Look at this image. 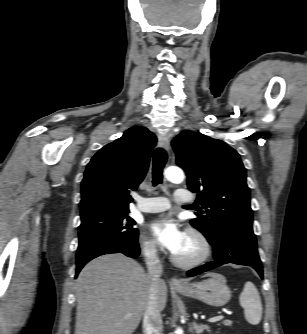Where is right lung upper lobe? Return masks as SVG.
<instances>
[{
	"label": "right lung upper lobe",
	"instance_id": "cb5924a9",
	"mask_svg": "<svg viewBox=\"0 0 307 334\" xmlns=\"http://www.w3.org/2000/svg\"><path fill=\"white\" fill-rule=\"evenodd\" d=\"M156 136L134 126L100 149L91 159L81 185V216L100 212H127L130 190L144 179L156 145Z\"/></svg>",
	"mask_w": 307,
	"mask_h": 334
}]
</instances>
